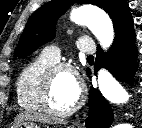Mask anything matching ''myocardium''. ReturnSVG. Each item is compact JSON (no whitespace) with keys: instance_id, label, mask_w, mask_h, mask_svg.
Segmentation results:
<instances>
[{"instance_id":"1","label":"myocardium","mask_w":142,"mask_h":128,"mask_svg":"<svg viewBox=\"0 0 142 128\" xmlns=\"http://www.w3.org/2000/svg\"><path fill=\"white\" fill-rule=\"evenodd\" d=\"M59 71H68L72 73L74 76H76V71L73 68L72 65L68 63H55L51 67H49L42 79L41 88H40V94L39 99L42 106V109L46 111L47 113L58 116V117H65L73 114L76 112L84 102V91L83 87L80 83L78 84V96L75 103L66 110H59L56 109L52 103H51V86L53 83V79Z\"/></svg>"}]
</instances>
